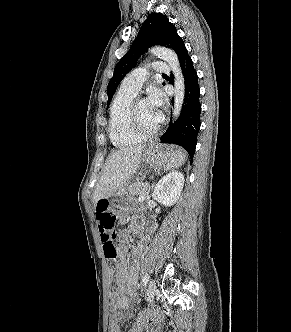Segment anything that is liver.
<instances>
[{
	"label": "liver",
	"mask_w": 291,
	"mask_h": 332,
	"mask_svg": "<svg viewBox=\"0 0 291 332\" xmlns=\"http://www.w3.org/2000/svg\"><path fill=\"white\" fill-rule=\"evenodd\" d=\"M145 149L144 145L130 146L122 148L108 157L93 194L94 205L100 199H109L123 188L138 170Z\"/></svg>",
	"instance_id": "1"
}]
</instances>
